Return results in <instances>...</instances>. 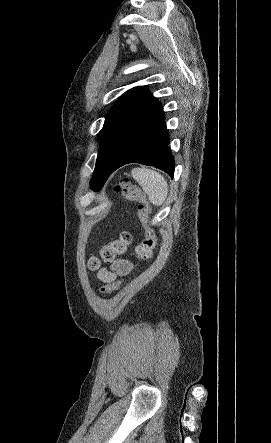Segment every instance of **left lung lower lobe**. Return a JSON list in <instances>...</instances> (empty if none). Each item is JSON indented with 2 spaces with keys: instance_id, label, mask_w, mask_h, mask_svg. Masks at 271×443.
<instances>
[{
  "instance_id": "0a47b994",
  "label": "left lung lower lobe",
  "mask_w": 271,
  "mask_h": 443,
  "mask_svg": "<svg viewBox=\"0 0 271 443\" xmlns=\"http://www.w3.org/2000/svg\"><path fill=\"white\" fill-rule=\"evenodd\" d=\"M168 144L162 106L149 94L125 130L110 174L125 164L140 163L159 168L173 177L175 161Z\"/></svg>"
}]
</instances>
